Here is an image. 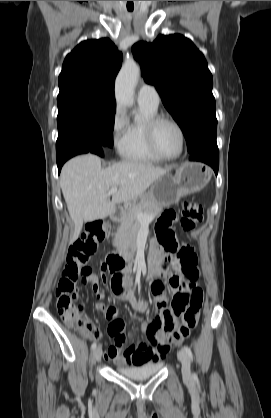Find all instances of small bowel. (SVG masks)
Returning <instances> with one entry per match:
<instances>
[{"instance_id":"obj_1","label":"small bowel","mask_w":271,"mask_h":418,"mask_svg":"<svg viewBox=\"0 0 271 418\" xmlns=\"http://www.w3.org/2000/svg\"><path fill=\"white\" fill-rule=\"evenodd\" d=\"M160 250L161 245L158 241H154L149 253L150 266L147 279L151 280V293L159 315L149 323H142L140 327V332L146 336L148 343H139L123 349L126 339L123 330L126 326V321L123 314H118L119 307L110 305L105 309V316L108 323H111L108 326V331L111 339H114V345L105 353L107 361H112L120 366H139L145 363L160 362L169 351L167 347L168 336L163 332V322L167 313H170L175 319L179 316V313L172 306L168 308L164 292L167 286H171L172 291L176 295L191 284L187 281L181 282L179 277L172 274L171 264L175 270L179 271L178 260L172 255L159 256ZM111 279V287L115 297L129 302L132 308L138 312L146 311L148 303L143 299L136 298L133 294L130 288L128 272L125 268H114L111 272ZM160 279H166L167 286ZM87 282L92 284V290L97 298L102 299L103 294L99 289L98 276L92 274L88 277ZM104 282H106L105 279ZM97 308L103 310L104 306L99 304Z\"/></svg>"}]
</instances>
